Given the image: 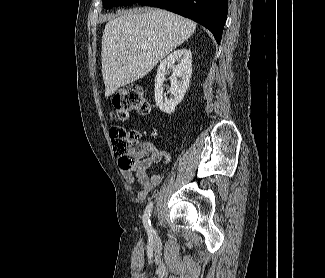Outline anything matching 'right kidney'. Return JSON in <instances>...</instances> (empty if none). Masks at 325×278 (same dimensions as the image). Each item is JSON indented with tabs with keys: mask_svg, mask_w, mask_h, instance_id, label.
<instances>
[{
	"mask_svg": "<svg viewBox=\"0 0 325 278\" xmlns=\"http://www.w3.org/2000/svg\"><path fill=\"white\" fill-rule=\"evenodd\" d=\"M178 62L177 65L175 63ZM192 54L188 49H179L169 54L159 65L155 77V102L164 113L171 114L182 101L187 91L192 74ZM169 69L173 73L170 77V98L163 95V83ZM181 78V80H178Z\"/></svg>",
	"mask_w": 325,
	"mask_h": 278,
	"instance_id": "obj_1",
	"label": "right kidney"
}]
</instances>
